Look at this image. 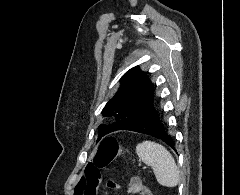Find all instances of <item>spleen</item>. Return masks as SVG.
<instances>
[{"mask_svg": "<svg viewBox=\"0 0 240 195\" xmlns=\"http://www.w3.org/2000/svg\"><path fill=\"white\" fill-rule=\"evenodd\" d=\"M136 153L146 165H151L161 185L175 187L179 183L180 175L175 159L164 145L155 141H142L137 143Z\"/></svg>", "mask_w": 240, "mask_h": 195, "instance_id": "obj_1", "label": "spleen"}]
</instances>
